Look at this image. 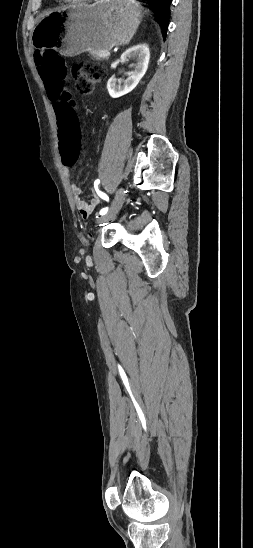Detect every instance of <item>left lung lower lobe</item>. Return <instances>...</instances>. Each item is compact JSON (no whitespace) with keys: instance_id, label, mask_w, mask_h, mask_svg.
<instances>
[{"instance_id":"0a47b994","label":"left lung lower lobe","mask_w":253,"mask_h":548,"mask_svg":"<svg viewBox=\"0 0 253 548\" xmlns=\"http://www.w3.org/2000/svg\"><path fill=\"white\" fill-rule=\"evenodd\" d=\"M152 4L158 19L157 22L161 26L162 34L165 37L169 24L170 5L172 0H145Z\"/></svg>"}]
</instances>
